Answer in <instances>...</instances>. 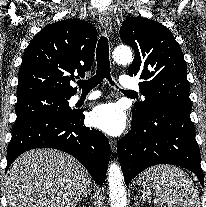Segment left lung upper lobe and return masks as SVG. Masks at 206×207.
Instances as JSON below:
<instances>
[{
    "instance_id": "1",
    "label": "left lung upper lobe",
    "mask_w": 206,
    "mask_h": 207,
    "mask_svg": "<svg viewBox=\"0 0 206 207\" xmlns=\"http://www.w3.org/2000/svg\"><path fill=\"white\" fill-rule=\"evenodd\" d=\"M121 40L135 50L130 76L139 77L145 100L134 105L132 115L145 117L154 103L191 109L187 65L172 33L162 24L142 17H130L120 29Z\"/></svg>"
}]
</instances>
